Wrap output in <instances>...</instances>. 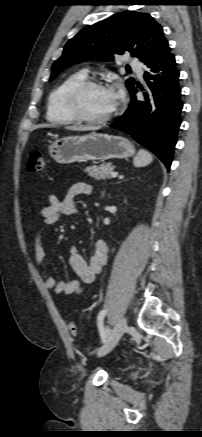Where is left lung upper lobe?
<instances>
[{
  "label": "left lung upper lobe",
  "mask_w": 202,
  "mask_h": 437,
  "mask_svg": "<svg viewBox=\"0 0 202 437\" xmlns=\"http://www.w3.org/2000/svg\"><path fill=\"white\" fill-rule=\"evenodd\" d=\"M167 44L162 27L148 13H118L70 39L62 56L52 66L50 80L75 63L88 60L108 61L114 55L125 52H130L131 56L147 64ZM134 83L133 78L126 80L129 91L134 88Z\"/></svg>",
  "instance_id": "obj_1"
}]
</instances>
